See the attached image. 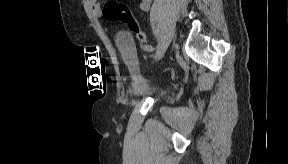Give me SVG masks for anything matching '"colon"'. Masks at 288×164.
Segmentation results:
<instances>
[{
    "instance_id": "5ec220e1",
    "label": "colon",
    "mask_w": 288,
    "mask_h": 164,
    "mask_svg": "<svg viewBox=\"0 0 288 164\" xmlns=\"http://www.w3.org/2000/svg\"><path fill=\"white\" fill-rule=\"evenodd\" d=\"M104 15L109 21L124 23L140 43L147 42V35L135 22L133 13L124 2L118 0L107 2L104 6Z\"/></svg>"
}]
</instances>
